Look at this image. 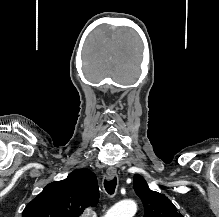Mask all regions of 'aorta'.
I'll return each instance as SVG.
<instances>
[{"label":"aorta","mask_w":219,"mask_h":217,"mask_svg":"<svg viewBox=\"0 0 219 217\" xmlns=\"http://www.w3.org/2000/svg\"><path fill=\"white\" fill-rule=\"evenodd\" d=\"M136 211V203L133 200H125L114 205L104 217H133Z\"/></svg>","instance_id":"obj_1"}]
</instances>
